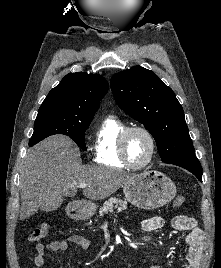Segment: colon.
I'll use <instances>...</instances> for the list:
<instances>
[{
  "instance_id": "obj_1",
  "label": "colon",
  "mask_w": 221,
  "mask_h": 268,
  "mask_svg": "<svg viewBox=\"0 0 221 268\" xmlns=\"http://www.w3.org/2000/svg\"><path fill=\"white\" fill-rule=\"evenodd\" d=\"M184 202H185V197L178 196L174 200V206L176 207L182 206ZM48 231H49L48 225L41 224L30 232L28 239L30 242H38L48 234Z\"/></svg>"
}]
</instances>
